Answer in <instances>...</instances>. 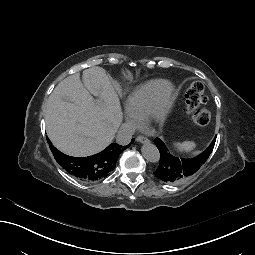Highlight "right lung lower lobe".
Masks as SVG:
<instances>
[{
    "label": "right lung lower lobe",
    "mask_w": 255,
    "mask_h": 255,
    "mask_svg": "<svg viewBox=\"0 0 255 255\" xmlns=\"http://www.w3.org/2000/svg\"><path fill=\"white\" fill-rule=\"evenodd\" d=\"M83 170L84 177L86 179H91L93 177V173H96L100 170V162L97 159H94L93 155L86 154L83 157Z\"/></svg>",
    "instance_id": "obj_1"
}]
</instances>
